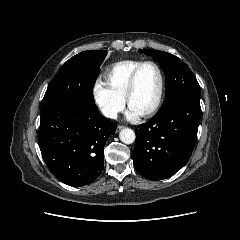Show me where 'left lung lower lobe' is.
Wrapping results in <instances>:
<instances>
[{
    "mask_svg": "<svg viewBox=\"0 0 240 240\" xmlns=\"http://www.w3.org/2000/svg\"><path fill=\"white\" fill-rule=\"evenodd\" d=\"M200 96L183 95L162 105L154 118L136 129L133 162L149 180H162L189 160L200 122Z\"/></svg>",
    "mask_w": 240,
    "mask_h": 240,
    "instance_id": "left-lung-lower-lobe-1",
    "label": "left lung lower lobe"
}]
</instances>
